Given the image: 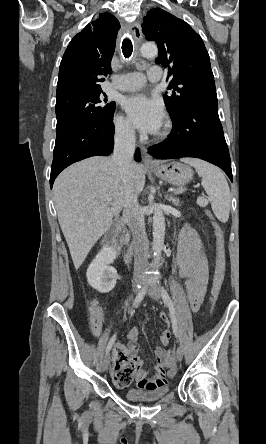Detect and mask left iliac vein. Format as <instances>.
Here are the masks:
<instances>
[{
  "mask_svg": "<svg viewBox=\"0 0 266 444\" xmlns=\"http://www.w3.org/2000/svg\"><path fill=\"white\" fill-rule=\"evenodd\" d=\"M148 290H147V294L154 300L159 301L161 298V293L159 288L154 284L149 282L148 283ZM175 355L178 361H181L183 358V349L181 346H178L176 351H175Z\"/></svg>",
  "mask_w": 266,
  "mask_h": 444,
  "instance_id": "left-iliac-vein-1",
  "label": "left iliac vein"
}]
</instances>
